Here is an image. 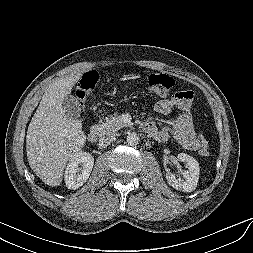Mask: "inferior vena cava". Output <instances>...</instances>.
Instances as JSON below:
<instances>
[{
    "label": "inferior vena cava",
    "mask_w": 253,
    "mask_h": 253,
    "mask_svg": "<svg viewBox=\"0 0 253 253\" xmlns=\"http://www.w3.org/2000/svg\"><path fill=\"white\" fill-rule=\"evenodd\" d=\"M118 136H119L118 133L106 134V135H103L99 141L101 144L107 145V144H110L111 142L115 141Z\"/></svg>",
    "instance_id": "obj_1"
}]
</instances>
